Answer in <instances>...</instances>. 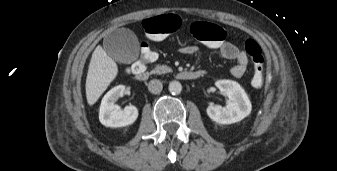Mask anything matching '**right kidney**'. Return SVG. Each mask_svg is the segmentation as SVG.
<instances>
[{
	"label": "right kidney",
	"mask_w": 337,
	"mask_h": 171,
	"mask_svg": "<svg viewBox=\"0 0 337 171\" xmlns=\"http://www.w3.org/2000/svg\"><path fill=\"white\" fill-rule=\"evenodd\" d=\"M125 86L118 85L112 88L103 97L100 105L99 120L106 127H123L133 124L138 117L135 106H126L121 109L115 102L123 97Z\"/></svg>",
	"instance_id": "obj_1"
}]
</instances>
